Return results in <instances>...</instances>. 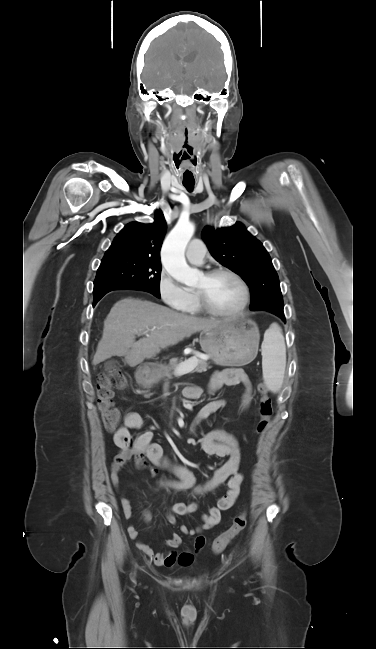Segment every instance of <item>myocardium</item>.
<instances>
[{
  "instance_id": "myocardium-1",
  "label": "myocardium",
  "mask_w": 376,
  "mask_h": 649,
  "mask_svg": "<svg viewBox=\"0 0 376 649\" xmlns=\"http://www.w3.org/2000/svg\"><path fill=\"white\" fill-rule=\"evenodd\" d=\"M219 274H228L231 277H233L240 285L242 289V301L241 304L232 311H222L214 308L208 301L205 292L202 289H195V295L198 300V303L200 307L202 308L203 311H205L208 314H211L213 316L217 317H224V318H234L240 316L245 309L248 306L249 300H250V291L248 284L246 281L243 279V277L238 274L236 271L227 268V267H217L210 269L204 273V277L207 279H210L216 275Z\"/></svg>"
}]
</instances>
